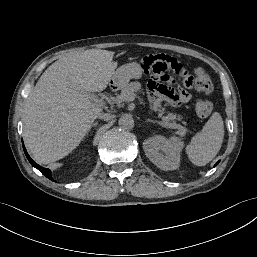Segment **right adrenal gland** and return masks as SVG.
I'll return each mask as SVG.
<instances>
[{"mask_svg": "<svg viewBox=\"0 0 257 257\" xmlns=\"http://www.w3.org/2000/svg\"><path fill=\"white\" fill-rule=\"evenodd\" d=\"M97 125H98V121L94 122V123L91 125L90 129H91V128H95ZM90 129H89V130H90ZM87 135H88V133H87Z\"/></svg>", "mask_w": 257, "mask_h": 257, "instance_id": "right-adrenal-gland-1", "label": "right adrenal gland"}]
</instances>
